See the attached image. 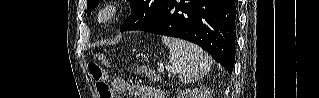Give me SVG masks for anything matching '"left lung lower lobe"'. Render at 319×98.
Wrapping results in <instances>:
<instances>
[{
    "instance_id": "left-lung-lower-lobe-1",
    "label": "left lung lower lobe",
    "mask_w": 319,
    "mask_h": 98,
    "mask_svg": "<svg viewBox=\"0 0 319 98\" xmlns=\"http://www.w3.org/2000/svg\"><path fill=\"white\" fill-rule=\"evenodd\" d=\"M235 0H164L137 30L196 43L231 73L235 61Z\"/></svg>"
}]
</instances>
